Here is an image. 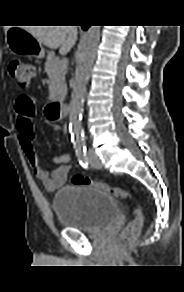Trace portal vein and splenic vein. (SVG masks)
Instances as JSON below:
<instances>
[{"label": "portal vein and splenic vein", "mask_w": 184, "mask_h": 292, "mask_svg": "<svg viewBox=\"0 0 184 292\" xmlns=\"http://www.w3.org/2000/svg\"><path fill=\"white\" fill-rule=\"evenodd\" d=\"M63 68H67V62L63 61Z\"/></svg>", "instance_id": "18ae733b"}]
</instances>
